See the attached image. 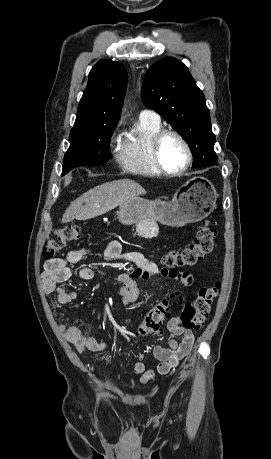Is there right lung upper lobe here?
<instances>
[{
    "mask_svg": "<svg viewBox=\"0 0 271 459\" xmlns=\"http://www.w3.org/2000/svg\"><path fill=\"white\" fill-rule=\"evenodd\" d=\"M126 86L125 67L119 62L101 59L89 73L88 85L79 103L77 118L120 119Z\"/></svg>",
    "mask_w": 271,
    "mask_h": 459,
    "instance_id": "obj_1",
    "label": "right lung upper lobe"
}]
</instances>
